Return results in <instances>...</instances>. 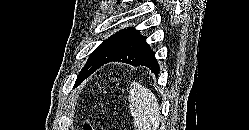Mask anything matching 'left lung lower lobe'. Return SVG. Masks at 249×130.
I'll use <instances>...</instances> for the list:
<instances>
[{
    "label": "left lung lower lobe",
    "instance_id": "left-lung-lower-lobe-1",
    "mask_svg": "<svg viewBox=\"0 0 249 130\" xmlns=\"http://www.w3.org/2000/svg\"><path fill=\"white\" fill-rule=\"evenodd\" d=\"M112 61L127 63L135 67L146 66L154 74H158L160 70L154 52L147 44L146 38L140 34L133 39L118 55L108 60L106 63Z\"/></svg>",
    "mask_w": 249,
    "mask_h": 130
}]
</instances>
